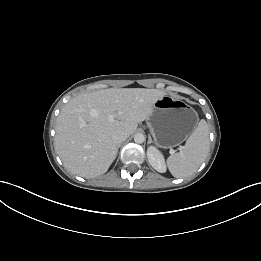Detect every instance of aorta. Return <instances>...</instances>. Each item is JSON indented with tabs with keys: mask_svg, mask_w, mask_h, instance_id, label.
Returning a JSON list of instances; mask_svg holds the SVG:
<instances>
[{
	"mask_svg": "<svg viewBox=\"0 0 261 261\" xmlns=\"http://www.w3.org/2000/svg\"><path fill=\"white\" fill-rule=\"evenodd\" d=\"M135 143L141 144L145 141V136L142 133H137L134 136Z\"/></svg>",
	"mask_w": 261,
	"mask_h": 261,
	"instance_id": "obj_1",
	"label": "aorta"
}]
</instances>
